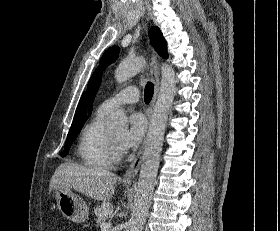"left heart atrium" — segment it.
Returning <instances> with one entry per match:
<instances>
[{"mask_svg":"<svg viewBox=\"0 0 280 231\" xmlns=\"http://www.w3.org/2000/svg\"><path fill=\"white\" fill-rule=\"evenodd\" d=\"M147 125L141 114H133L129 118L127 131L118 140L123 152L136 148L142 141Z\"/></svg>","mask_w":280,"mask_h":231,"instance_id":"left-heart-atrium-1","label":"left heart atrium"}]
</instances>
